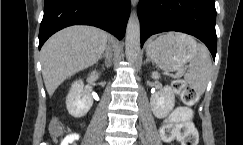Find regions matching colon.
Here are the masks:
<instances>
[{
  "label": "colon",
  "instance_id": "obj_1",
  "mask_svg": "<svg viewBox=\"0 0 243 145\" xmlns=\"http://www.w3.org/2000/svg\"><path fill=\"white\" fill-rule=\"evenodd\" d=\"M173 90L180 94L181 101L185 106L177 108L162 123L160 127L161 138L166 142L178 140L181 145H197L198 132L191 121V110L189 109L197 101V92L182 79L173 82ZM49 131L53 137H59L62 133L60 122L56 119L53 120L49 126Z\"/></svg>",
  "mask_w": 243,
  "mask_h": 145
}]
</instances>
